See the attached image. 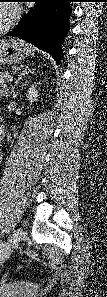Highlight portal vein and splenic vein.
<instances>
[{
    "mask_svg": "<svg viewBox=\"0 0 107 297\" xmlns=\"http://www.w3.org/2000/svg\"><path fill=\"white\" fill-rule=\"evenodd\" d=\"M13 80V76H8V81H12Z\"/></svg>",
    "mask_w": 107,
    "mask_h": 297,
    "instance_id": "18ae733b",
    "label": "portal vein and splenic vein"
}]
</instances>
